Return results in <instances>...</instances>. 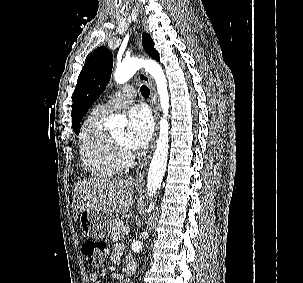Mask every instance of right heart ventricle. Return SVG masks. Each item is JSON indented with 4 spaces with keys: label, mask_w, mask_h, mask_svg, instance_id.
Returning <instances> with one entry per match:
<instances>
[{
    "label": "right heart ventricle",
    "mask_w": 303,
    "mask_h": 283,
    "mask_svg": "<svg viewBox=\"0 0 303 283\" xmlns=\"http://www.w3.org/2000/svg\"><path fill=\"white\" fill-rule=\"evenodd\" d=\"M107 113L97 109L88 115L79 134V150L87 173L96 179L116 176L121 167L118 164L110 135L104 128Z\"/></svg>",
    "instance_id": "right-heart-ventricle-1"
}]
</instances>
